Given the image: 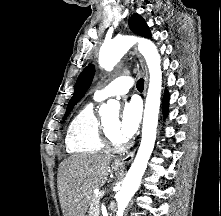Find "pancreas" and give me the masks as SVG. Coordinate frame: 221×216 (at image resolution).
Wrapping results in <instances>:
<instances>
[{"label":"pancreas","instance_id":"cf45deb5","mask_svg":"<svg viewBox=\"0 0 221 216\" xmlns=\"http://www.w3.org/2000/svg\"><path fill=\"white\" fill-rule=\"evenodd\" d=\"M101 193L99 194H93L90 202V208H89V216H98L99 215V203L101 199Z\"/></svg>","mask_w":221,"mask_h":216}]
</instances>
